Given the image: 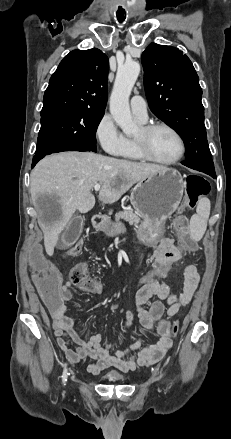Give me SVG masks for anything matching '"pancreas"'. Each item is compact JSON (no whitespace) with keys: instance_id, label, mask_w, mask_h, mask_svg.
<instances>
[{"instance_id":"pancreas-1","label":"pancreas","mask_w":231,"mask_h":439,"mask_svg":"<svg viewBox=\"0 0 231 439\" xmlns=\"http://www.w3.org/2000/svg\"><path fill=\"white\" fill-rule=\"evenodd\" d=\"M120 219H123L135 226H137L141 221L140 216L129 209H124L123 211L115 214V220L119 221Z\"/></svg>"}]
</instances>
